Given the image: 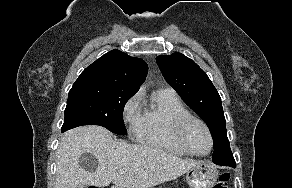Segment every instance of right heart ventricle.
Here are the masks:
<instances>
[{"mask_svg":"<svg viewBox=\"0 0 292 188\" xmlns=\"http://www.w3.org/2000/svg\"><path fill=\"white\" fill-rule=\"evenodd\" d=\"M188 115L189 111L174 91L158 90L152 94L150 103L140 115L134 130L137 140L175 155L187 156L189 153L176 139L175 125Z\"/></svg>","mask_w":292,"mask_h":188,"instance_id":"obj_1","label":"right heart ventricle"}]
</instances>
